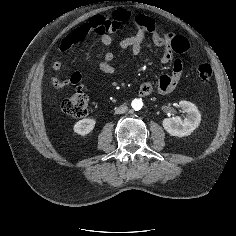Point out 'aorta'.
I'll return each instance as SVG.
<instances>
[{"mask_svg":"<svg viewBox=\"0 0 236 236\" xmlns=\"http://www.w3.org/2000/svg\"><path fill=\"white\" fill-rule=\"evenodd\" d=\"M131 106L134 110L138 111L143 107V102L141 99H134L131 103Z\"/></svg>","mask_w":236,"mask_h":236,"instance_id":"762f6f07","label":"aorta"}]
</instances>
